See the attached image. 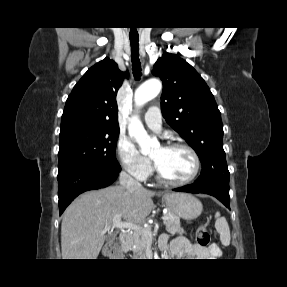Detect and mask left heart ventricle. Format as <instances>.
<instances>
[{
    "instance_id": "b2bd125f",
    "label": "left heart ventricle",
    "mask_w": 287,
    "mask_h": 287,
    "mask_svg": "<svg viewBox=\"0 0 287 287\" xmlns=\"http://www.w3.org/2000/svg\"><path fill=\"white\" fill-rule=\"evenodd\" d=\"M165 176L172 180H184L194 170V160L191 154L182 148L165 149L157 147L151 154Z\"/></svg>"
}]
</instances>
